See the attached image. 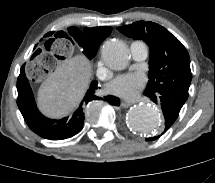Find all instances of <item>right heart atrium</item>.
<instances>
[{"label":"right heart atrium","mask_w":215,"mask_h":183,"mask_svg":"<svg viewBox=\"0 0 215 183\" xmlns=\"http://www.w3.org/2000/svg\"><path fill=\"white\" fill-rule=\"evenodd\" d=\"M97 75L101 78V79H108L109 78V73L107 71H105V69L103 68V66L101 64H98L97 67Z\"/></svg>","instance_id":"right-heart-atrium-1"}]
</instances>
